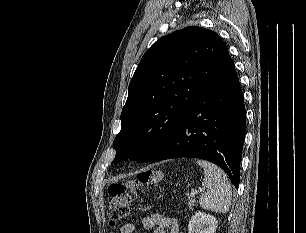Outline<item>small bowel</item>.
Instances as JSON below:
<instances>
[{
    "label": "small bowel",
    "mask_w": 306,
    "mask_h": 233,
    "mask_svg": "<svg viewBox=\"0 0 306 233\" xmlns=\"http://www.w3.org/2000/svg\"><path fill=\"white\" fill-rule=\"evenodd\" d=\"M145 229H153V233H180L179 224L176 218L155 213L141 218L139 221ZM138 222H129L123 225L120 233H133Z\"/></svg>",
    "instance_id": "obj_1"
}]
</instances>
